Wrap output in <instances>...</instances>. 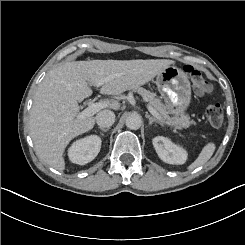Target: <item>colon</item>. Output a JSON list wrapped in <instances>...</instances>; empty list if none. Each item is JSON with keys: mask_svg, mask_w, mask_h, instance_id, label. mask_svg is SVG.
Segmentation results:
<instances>
[{"mask_svg": "<svg viewBox=\"0 0 245 245\" xmlns=\"http://www.w3.org/2000/svg\"><path fill=\"white\" fill-rule=\"evenodd\" d=\"M184 71L190 76L193 87L199 95H210L212 92L211 85L206 81L200 71L192 65H185ZM206 116L209 124L213 128H220L223 124V109L218 103H209L206 107Z\"/></svg>", "mask_w": 245, "mask_h": 245, "instance_id": "colon-1", "label": "colon"}]
</instances>
